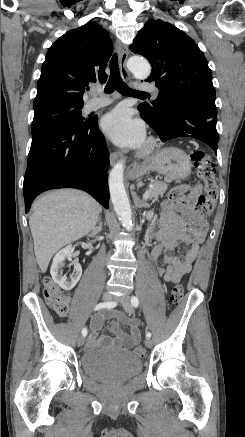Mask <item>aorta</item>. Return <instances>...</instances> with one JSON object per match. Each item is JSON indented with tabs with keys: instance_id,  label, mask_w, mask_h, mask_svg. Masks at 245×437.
Here are the masks:
<instances>
[{
	"instance_id": "762f6f07",
	"label": "aorta",
	"mask_w": 245,
	"mask_h": 437,
	"mask_svg": "<svg viewBox=\"0 0 245 437\" xmlns=\"http://www.w3.org/2000/svg\"><path fill=\"white\" fill-rule=\"evenodd\" d=\"M127 66L138 79H145L150 75L151 67L142 57L134 56L128 60ZM124 161H119L109 174L110 198L116 214L123 227L132 230V212L123 183Z\"/></svg>"
}]
</instances>
